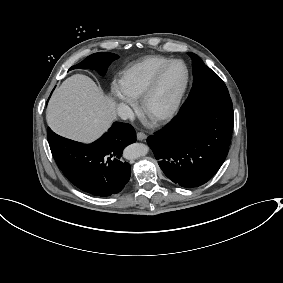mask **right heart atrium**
<instances>
[{
  "mask_svg": "<svg viewBox=\"0 0 283 283\" xmlns=\"http://www.w3.org/2000/svg\"><path fill=\"white\" fill-rule=\"evenodd\" d=\"M110 97L119 104L124 113H130L134 107L135 102L125 92L120 81L113 80L109 86Z\"/></svg>",
  "mask_w": 283,
  "mask_h": 283,
  "instance_id": "obj_1",
  "label": "right heart atrium"
}]
</instances>
